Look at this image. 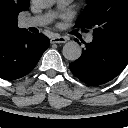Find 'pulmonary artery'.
<instances>
[{
  "label": "pulmonary artery",
  "mask_w": 128,
  "mask_h": 128,
  "mask_svg": "<svg viewBox=\"0 0 128 128\" xmlns=\"http://www.w3.org/2000/svg\"><path fill=\"white\" fill-rule=\"evenodd\" d=\"M73 0H58V6L63 8L70 4ZM55 17V13L49 12L41 15L31 16L23 18L21 21V25L23 27H40L49 24L53 18ZM93 37L90 35L87 37V41L91 42Z\"/></svg>",
  "instance_id": "obj_1"
}]
</instances>
